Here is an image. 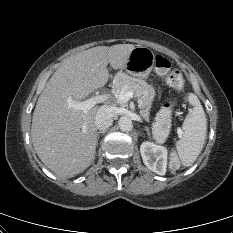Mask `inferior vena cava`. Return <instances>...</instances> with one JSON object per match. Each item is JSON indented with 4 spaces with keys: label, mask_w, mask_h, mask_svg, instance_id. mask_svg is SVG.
<instances>
[{
    "label": "inferior vena cava",
    "mask_w": 233,
    "mask_h": 233,
    "mask_svg": "<svg viewBox=\"0 0 233 233\" xmlns=\"http://www.w3.org/2000/svg\"><path fill=\"white\" fill-rule=\"evenodd\" d=\"M115 116V111L113 107L104 105L101 106L95 117V126L99 130H105L110 127L113 123V118Z\"/></svg>",
    "instance_id": "obj_1"
}]
</instances>
